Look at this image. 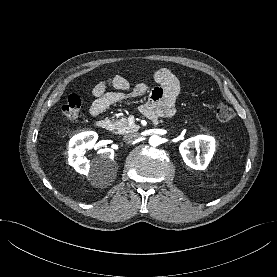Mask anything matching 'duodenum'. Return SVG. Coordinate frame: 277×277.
I'll list each match as a JSON object with an SVG mask.
<instances>
[{"label":"duodenum","mask_w":277,"mask_h":277,"mask_svg":"<svg viewBox=\"0 0 277 277\" xmlns=\"http://www.w3.org/2000/svg\"><path fill=\"white\" fill-rule=\"evenodd\" d=\"M96 125L98 128H100L102 130H108L110 128V123L104 119L97 121Z\"/></svg>","instance_id":"obj_1"}]
</instances>
